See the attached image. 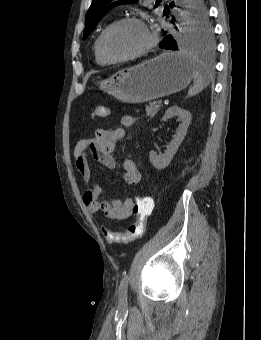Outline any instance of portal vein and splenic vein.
Here are the masks:
<instances>
[{"mask_svg": "<svg viewBox=\"0 0 261 340\" xmlns=\"http://www.w3.org/2000/svg\"><path fill=\"white\" fill-rule=\"evenodd\" d=\"M162 103H163L162 100H159V101H158V104H159V105H162Z\"/></svg>", "mask_w": 261, "mask_h": 340, "instance_id": "1", "label": "portal vein and splenic vein"}]
</instances>
